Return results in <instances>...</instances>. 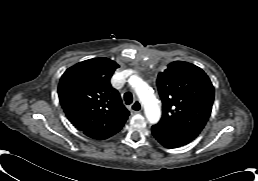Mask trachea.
I'll return each instance as SVG.
<instances>
[{"instance_id": "obj_1", "label": "trachea", "mask_w": 258, "mask_h": 181, "mask_svg": "<svg viewBox=\"0 0 258 181\" xmlns=\"http://www.w3.org/2000/svg\"><path fill=\"white\" fill-rule=\"evenodd\" d=\"M124 101L127 105L131 104L133 102V96L130 92H126L124 94Z\"/></svg>"}]
</instances>
